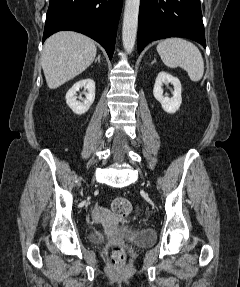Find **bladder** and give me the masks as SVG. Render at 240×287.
Instances as JSON below:
<instances>
[{
	"label": "bladder",
	"mask_w": 240,
	"mask_h": 287,
	"mask_svg": "<svg viewBox=\"0 0 240 287\" xmlns=\"http://www.w3.org/2000/svg\"><path fill=\"white\" fill-rule=\"evenodd\" d=\"M113 235L122 238H131L138 245L151 244L154 241V233L152 230L144 227H138L131 224H123L119 226ZM104 233L100 230H95L90 234V241L92 243H101L104 240Z\"/></svg>",
	"instance_id": "31cf9c89"
}]
</instances>
